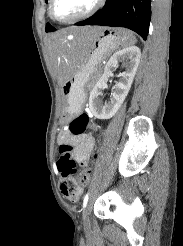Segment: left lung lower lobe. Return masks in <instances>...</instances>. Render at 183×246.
Masks as SVG:
<instances>
[{"label":"left lung lower lobe","instance_id":"1","mask_svg":"<svg viewBox=\"0 0 183 246\" xmlns=\"http://www.w3.org/2000/svg\"><path fill=\"white\" fill-rule=\"evenodd\" d=\"M151 0H106L93 16L75 25L125 27L146 39L151 19Z\"/></svg>","mask_w":183,"mask_h":246}]
</instances>
